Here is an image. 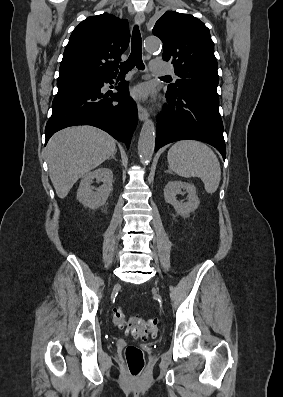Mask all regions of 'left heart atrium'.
<instances>
[{
	"label": "left heart atrium",
	"mask_w": 283,
	"mask_h": 397,
	"mask_svg": "<svg viewBox=\"0 0 283 397\" xmlns=\"http://www.w3.org/2000/svg\"><path fill=\"white\" fill-rule=\"evenodd\" d=\"M133 98L138 100H146L150 95V89L146 85H138L131 91Z\"/></svg>",
	"instance_id": "left-heart-atrium-1"
}]
</instances>
